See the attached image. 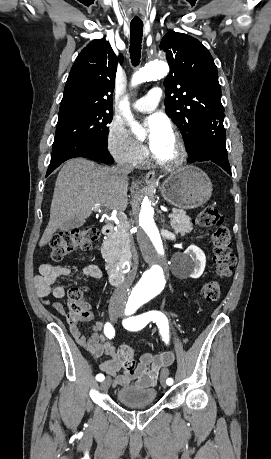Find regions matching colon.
Masks as SVG:
<instances>
[{
  "label": "colon",
  "instance_id": "colon-1",
  "mask_svg": "<svg viewBox=\"0 0 271 459\" xmlns=\"http://www.w3.org/2000/svg\"><path fill=\"white\" fill-rule=\"evenodd\" d=\"M201 227L214 228L212 233L214 273L219 278L229 277L234 269L236 258L232 251V237L223 215L214 207H207L196 217ZM98 237L95 228H77L55 235L50 243V257L54 261L63 260L79 250H87ZM84 290L72 288L68 292V320L75 324L78 319L89 315L88 306L83 301ZM220 296V286L216 281L206 283L198 296L199 302H214ZM118 357L127 370L135 368L134 349L122 345Z\"/></svg>",
  "mask_w": 271,
  "mask_h": 459
}]
</instances>
